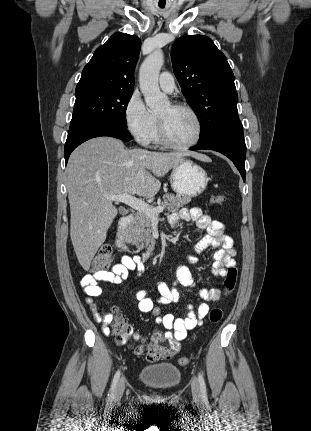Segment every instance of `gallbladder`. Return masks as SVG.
Returning a JSON list of instances; mask_svg holds the SVG:
<instances>
[{"mask_svg":"<svg viewBox=\"0 0 311 431\" xmlns=\"http://www.w3.org/2000/svg\"><path fill=\"white\" fill-rule=\"evenodd\" d=\"M120 212H124L123 208H120Z\"/></svg>","mask_w":311,"mask_h":431,"instance_id":"1","label":"gallbladder"}]
</instances>
